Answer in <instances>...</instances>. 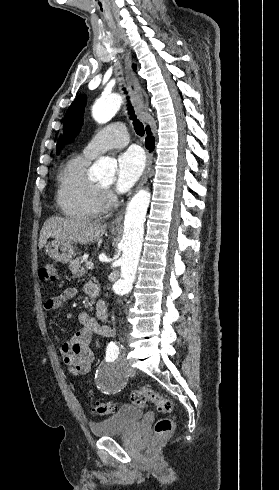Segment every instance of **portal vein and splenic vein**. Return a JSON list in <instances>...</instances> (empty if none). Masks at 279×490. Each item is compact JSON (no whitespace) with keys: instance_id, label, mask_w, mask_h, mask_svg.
I'll return each mask as SVG.
<instances>
[{"instance_id":"portal-vein-and-splenic-vein-1","label":"portal vein and splenic vein","mask_w":279,"mask_h":490,"mask_svg":"<svg viewBox=\"0 0 279 490\" xmlns=\"http://www.w3.org/2000/svg\"><path fill=\"white\" fill-rule=\"evenodd\" d=\"M86 268H88V270H92L93 268L92 262H86Z\"/></svg>"}]
</instances>
